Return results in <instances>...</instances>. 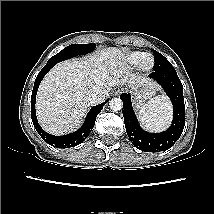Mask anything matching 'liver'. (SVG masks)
Wrapping results in <instances>:
<instances>
[{
  "instance_id": "liver-1",
  "label": "liver",
  "mask_w": 214,
  "mask_h": 214,
  "mask_svg": "<svg viewBox=\"0 0 214 214\" xmlns=\"http://www.w3.org/2000/svg\"><path fill=\"white\" fill-rule=\"evenodd\" d=\"M124 54L115 47L85 59L63 61L41 82L36 99L37 118L44 130L62 135L78 128L91 105L86 98L92 88L107 91L115 85L136 88L145 79L129 73Z\"/></svg>"
}]
</instances>
